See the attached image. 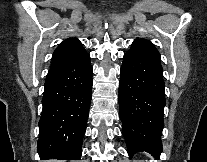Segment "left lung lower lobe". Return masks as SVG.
<instances>
[{"label": "left lung lower lobe", "mask_w": 207, "mask_h": 162, "mask_svg": "<svg viewBox=\"0 0 207 162\" xmlns=\"http://www.w3.org/2000/svg\"><path fill=\"white\" fill-rule=\"evenodd\" d=\"M164 88L159 59L130 51L124 54L119 105L129 156L145 151L159 159L164 126Z\"/></svg>", "instance_id": "left-lung-lower-lobe-1"}]
</instances>
